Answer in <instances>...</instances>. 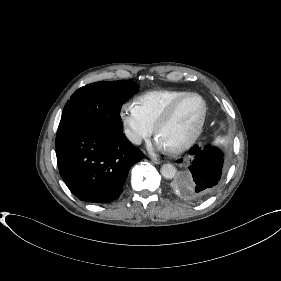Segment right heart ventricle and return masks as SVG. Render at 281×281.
I'll use <instances>...</instances> for the list:
<instances>
[{
	"label": "right heart ventricle",
	"instance_id": "obj_1",
	"mask_svg": "<svg viewBox=\"0 0 281 281\" xmlns=\"http://www.w3.org/2000/svg\"><path fill=\"white\" fill-rule=\"evenodd\" d=\"M187 91L174 89L151 90L139 95L135 103L147 121L155 126L157 120L169 104Z\"/></svg>",
	"mask_w": 281,
	"mask_h": 281
}]
</instances>
